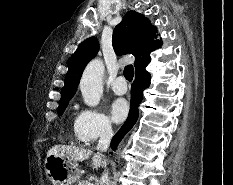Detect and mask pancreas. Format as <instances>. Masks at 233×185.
I'll return each mask as SVG.
<instances>
[{
  "mask_svg": "<svg viewBox=\"0 0 233 185\" xmlns=\"http://www.w3.org/2000/svg\"><path fill=\"white\" fill-rule=\"evenodd\" d=\"M87 183H88V181H86V180H81V181L78 182L77 185H87Z\"/></svg>",
  "mask_w": 233,
  "mask_h": 185,
  "instance_id": "1",
  "label": "pancreas"
}]
</instances>
